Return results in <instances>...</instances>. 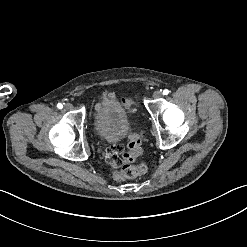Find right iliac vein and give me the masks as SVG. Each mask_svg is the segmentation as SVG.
Returning a JSON list of instances; mask_svg holds the SVG:
<instances>
[{
    "mask_svg": "<svg viewBox=\"0 0 247 247\" xmlns=\"http://www.w3.org/2000/svg\"><path fill=\"white\" fill-rule=\"evenodd\" d=\"M65 108L67 111H71L73 109V105L71 103H66Z\"/></svg>",
    "mask_w": 247,
    "mask_h": 247,
    "instance_id": "right-iliac-vein-1",
    "label": "right iliac vein"
}]
</instances>
